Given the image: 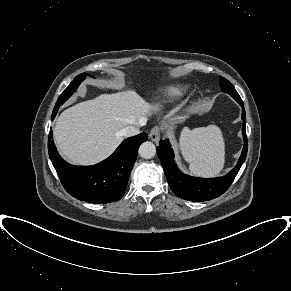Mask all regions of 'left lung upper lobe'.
Returning <instances> with one entry per match:
<instances>
[{
	"instance_id": "left-lung-upper-lobe-1",
	"label": "left lung upper lobe",
	"mask_w": 291,
	"mask_h": 291,
	"mask_svg": "<svg viewBox=\"0 0 291 291\" xmlns=\"http://www.w3.org/2000/svg\"><path fill=\"white\" fill-rule=\"evenodd\" d=\"M220 87L223 92L230 94L234 99L240 97L233 85L222 76H220Z\"/></svg>"
}]
</instances>
